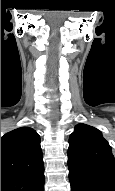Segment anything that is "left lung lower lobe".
<instances>
[{"label": "left lung lower lobe", "instance_id": "obj_1", "mask_svg": "<svg viewBox=\"0 0 115 191\" xmlns=\"http://www.w3.org/2000/svg\"><path fill=\"white\" fill-rule=\"evenodd\" d=\"M71 191H115V179L69 165Z\"/></svg>", "mask_w": 115, "mask_h": 191}]
</instances>
